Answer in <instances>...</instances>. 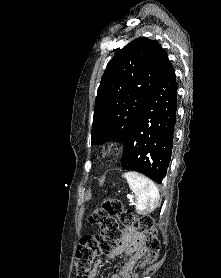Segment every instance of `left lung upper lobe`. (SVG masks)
Instances as JSON below:
<instances>
[{
  "label": "left lung upper lobe",
  "instance_id": "5c2ea615",
  "mask_svg": "<svg viewBox=\"0 0 221 278\" xmlns=\"http://www.w3.org/2000/svg\"><path fill=\"white\" fill-rule=\"evenodd\" d=\"M102 76L94 108L92 144L124 142L169 59L160 44L137 38L115 50Z\"/></svg>",
  "mask_w": 221,
  "mask_h": 278
}]
</instances>
